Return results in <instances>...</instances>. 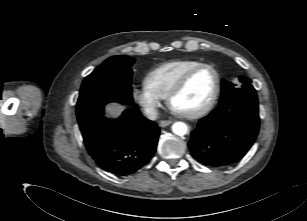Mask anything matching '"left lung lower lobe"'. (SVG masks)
<instances>
[{"label":"left lung lower lobe","instance_id":"0a47b994","mask_svg":"<svg viewBox=\"0 0 307 221\" xmlns=\"http://www.w3.org/2000/svg\"><path fill=\"white\" fill-rule=\"evenodd\" d=\"M258 130L257 95L243 94L220 102L200 119L188 145L197 161L212 167L227 166L247 153Z\"/></svg>","mask_w":307,"mask_h":221}]
</instances>
